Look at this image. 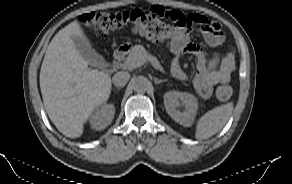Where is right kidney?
Here are the masks:
<instances>
[{
    "mask_svg": "<svg viewBox=\"0 0 292 184\" xmlns=\"http://www.w3.org/2000/svg\"><path fill=\"white\" fill-rule=\"evenodd\" d=\"M115 114L113 104H104L98 107L90 116L89 123L92 129L103 130L111 124Z\"/></svg>",
    "mask_w": 292,
    "mask_h": 184,
    "instance_id": "ca27d5eb",
    "label": "right kidney"
}]
</instances>
